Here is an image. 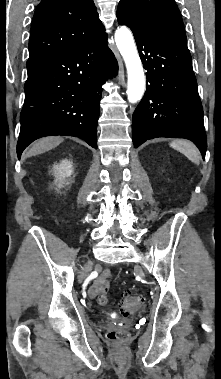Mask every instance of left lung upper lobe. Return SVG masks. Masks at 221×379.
Instances as JSON below:
<instances>
[{
  "instance_id": "left-lung-upper-lobe-1",
  "label": "left lung upper lobe",
  "mask_w": 221,
  "mask_h": 379,
  "mask_svg": "<svg viewBox=\"0 0 221 379\" xmlns=\"http://www.w3.org/2000/svg\"><path fill=\"white\" fill-rule=\"evenodd\" d=\"M124 11L145 30L187 44L181 13L174 0H120Z\"/></svg>"
}]
</instances>
